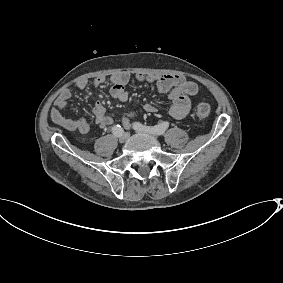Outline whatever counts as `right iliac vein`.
<instances>
[{
  "label": "right iliac vein",
  "instance_id": "right-iliac-vein-1",
  "mask_svg": "<svg viewBox=\"0 0 283 283\" xmlns=\"http://www.w3.org/2000/svg\"><path fill=\"white\" fill-rule=\"evenodd\" d=\"M129 137V134L127 132H124L120 137H119V142L124 143L127 141Z\"/></svg>",
  "mask_w": 283,
  "mask_h": 283
}]
</instances>
